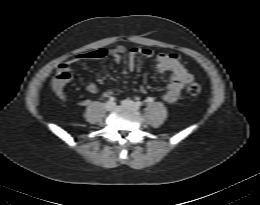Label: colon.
<instances>
[{"mask_svg": "<svg viewBox=\"0 0 260 205\" xmlns=\"http://www.w3.org/2000/svg\"><path fill=\"white\" fill-rule=\"evenodd\" d=\"M92 57H96V55L93 54ZM201 91H202V87L199 83L193 82L187 86V92L190 95L197 96L201 93Z\"/></svg>", "mask_w": 260, "mask_h": 205, "instance_id": "5ec220e1", "label": "colon"}]
</instances>
